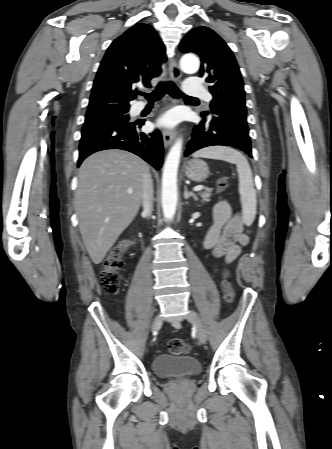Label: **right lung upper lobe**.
I'll return each mask as SVG.
<instances>
[{
	"mask_svg": "<svg viewBox=\"0 0 332 449\" xmlns=\"http://www.w3.org/2000/svg\"><path fill=\"white\" fill-rule=\"evenodd\" d=\"M166 61L165 46L148 24H136L115 39L106 51L94 80L87 113L129 108L136 85L151 87Z\"/></svg>",
	"mask_w": 332,
	"mask_h": 449,
	"instance_id": "cb5924a9",
	"label": "right lung upper lobe"
}]
</instances>
